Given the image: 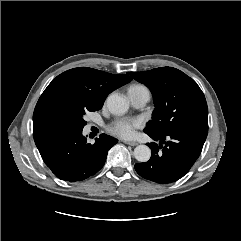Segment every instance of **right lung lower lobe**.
<instances>
[{
	"instance_id": "98d812e1",
	"label": "right lung lower lobe",
	"mask_w": 241,
	"mask_h": 241,
	"mask_svg": "<svg viewBox=\"0 0 241 241\" xmlns=\"http://www.w3.org/2000/svg\"><path fill=\"white\" fill-rule=\"evenodd\" d=\"M34 141L45 164L64 181H82L104 165L108 150L117 139L101 134L94 144L87 143L82 129L59 128L34 132Z\"/></svg>"
}]
</instances>
